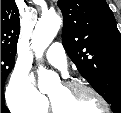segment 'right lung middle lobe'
<instances>
[{"label": "right lung middle lobe", "mask_w": 121, "mask_h": 113, "mask_svg": "<svg viewBox=\"0 0 121 113\" xmlns=\"http://www.w3.org/2000/svg\"><path fill=\"white\" fill-rule=\"evenodd\" d=\"M15 55H11L8 53H1V103L5 102L4 98V85L5 80L9 73L11 72L12 68L14 67Z\"/></svg>", "instance_id": "1"}]
</instances>
